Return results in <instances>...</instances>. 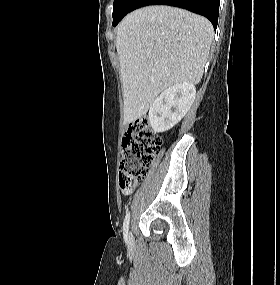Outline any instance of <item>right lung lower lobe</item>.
Returning <instances> with one entry per match:
<instances>
[{"label": "right lung lower lobe", "instance_id": "right-lung-lower-lobe-1", "mask_svg": "<svg viewBox=\"0 0 280 285\" xmlns=\"http://www.w3.org/2000/svg\"><path fill=\"white\" fill-rule=\"evenodd\" d=\"M220 0H137L133 10L149 5H169L205 16L217 28ZM132 10V11H133ZM116 26V25H115Z\"/></svg>", "mask_w": 280, "mask_h": 285}]
</instances>
